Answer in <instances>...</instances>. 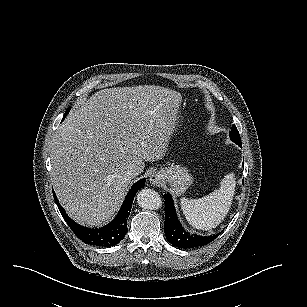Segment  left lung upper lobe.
Listing matches in <instances>:
<instances>
[{
  "label": "left lung upper lobe",
  "mask_w": 307,
  "mask_h": 307,
  "mask_svg": "<svg viewBox=\"0 0 307 307\" xmlns=\"http://www.w3.org/2000/svg\"><path fill=\"white\" fill-rule=\"evenodd\" d=\"M230 139L235 142L238 146L242 147V143H241V138H240V134L236 128V126L234 125L231 128L230 131Z\"/></svg>",
  "instance_id": "obj_1"
}]
</instances>
